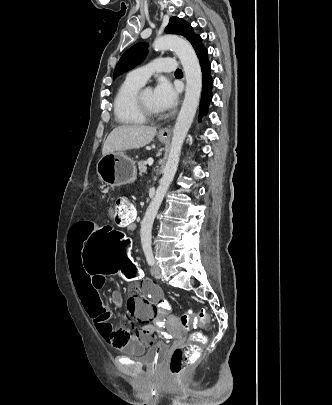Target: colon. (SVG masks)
Returning <instances> with one entry per match:
<instances>
[{"instance_id": "1", "label": "colon", "mask_w": 332, "mask_h": 405, "mask_svg": "<svg viewBox=\"0 0 332 405\" xmlns=\"http://www.w3.org/2000/svg\"><path fill=\"white\" fill-rule=\"evenodd\" d=\"M114 210L117 221L128 222L135 217V208L126 195H119L116 198ZM90 240L86 241V248L83 250V260L90 275H118L119 281L138 282L144 277L141 267L129 256V240L127 235L115 231L114 227H98L97 220L89 221ZM134 261V262H133ZM150 288H160L151 285ZM159 308L152 317V324L155 325V333L158 334L159 342H170L171 334L168 332V319L172 318V303L169 299H158ZM183 330H189L193 324L200 323L208 327V314L200 310L194 314L184 313L179 318ZM205 337L200 332H194L190 336V343L177 347L173 350L169 362V371L173 376H180L198 358V344L203 343Z\"/></svg>"}]
</instances>
